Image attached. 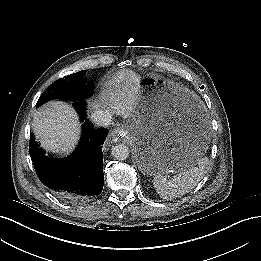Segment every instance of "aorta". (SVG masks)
I'll return each instance as SVG.
<instances>
[{"label": "aorta", "mask_w": 261, "mask_h": 261, "mask_svg": "<svg viewBox=\"0 0 261 261\" xmlns=\"http://www.w3.org/2000/svg\"><path fill=\"white\" fill-rule=\"evenodd\" d=\"M112 155L119 161L126 160L129 157V149L124 144H116L112 147Z\"/></svg>", "instance_id": "762f6f07"}]
</instances>
